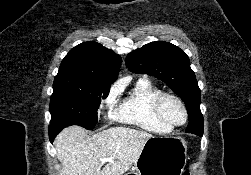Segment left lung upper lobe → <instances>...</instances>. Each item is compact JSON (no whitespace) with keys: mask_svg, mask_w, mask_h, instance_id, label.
I'll use <instances>...</instances> for the list:
<instances>
[{"mask_svg":"<svg viewBox=\"0 0 251 175\" xmlns=\"http://www.w3.org/2000/svg\"><path fill=\"white\" fill-rule=\"evenodd\" d=\"M125 63L131 72L162 80L184 101L187 110L197 111L189 120L186 132L203 135L200 89L184 51L171 43L155 41L129 53Z\"/></svg>","mask_w":251,"mask_h":175,"instance_id":"1","label":"left lung upper lobe"}]
</instances>
